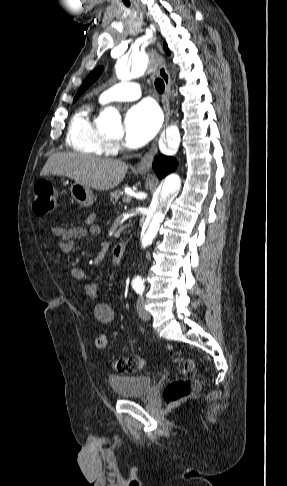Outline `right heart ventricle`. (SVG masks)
Instances as JSON below:
<instances>
[{"mask_svg": "<svg viewBox=\"0 0 287 486\" xmlns=\"http://www.w3.org/2000/svg\"><path fill=\"white\" fill-rule=\"evenodd\" d=\"M93 109L90 105L83 106L72 116L66 142L75 152L92 156H109L113 147L109 139L98 129L93 120Z\"/></svg>", "mask_w": 287, "mask_h": 486, "instance_id": "right-heart-ventricle-1", "label": "right heart ventricle"}]
</instances>
